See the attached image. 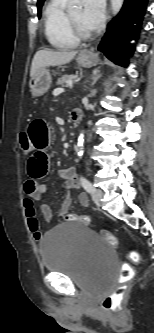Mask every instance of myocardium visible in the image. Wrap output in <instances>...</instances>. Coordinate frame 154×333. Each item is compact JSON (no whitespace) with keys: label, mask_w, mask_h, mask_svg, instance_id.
<instances>
[{"label":"myocardium","mask_w":154,"mask_h":333,"mask_svg":"<svg viewBox=\"0 0 154 333\" xmlns=\"http://www.w3.org/2000/svg\"><path fill=\"white\" fill-rule=\"evenodd\" d=\"M66 19L72 34L78 40H87L93 37V33L82 29L81 26L72 19L69 12H66Z\"/></svg>","instance_id":"1"}]
</instances>
